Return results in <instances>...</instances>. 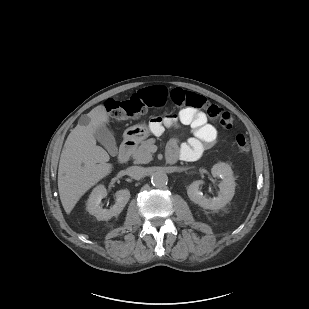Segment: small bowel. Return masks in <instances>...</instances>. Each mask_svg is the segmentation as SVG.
I'll list each match as a JSON object with an SVG mask.
<instances>
[{
    "instance_id": "c3829d8e",
    "label": "small bowel",
    "mask_w": 309,
    "mask_h": 309,
    "mask_svg": "<svg viewBox=\"0 0 309 309\" xmlns=\"http://www.w3.org/2000/svg\"><path fill=\"white\" fill-rule=\"evenodd\" d=\"M177 119L193 130V137L184 145H179L176 139L168 143V160L177 161L182 158H193L199 156L205 149L210 148L216 141V128L207 122L205 114L190 108L182 109L177 117L166 115L162 119L157 118L152 122L155 131L161 130L162 126H173Z\"/></svg>"
}]
</instances>
